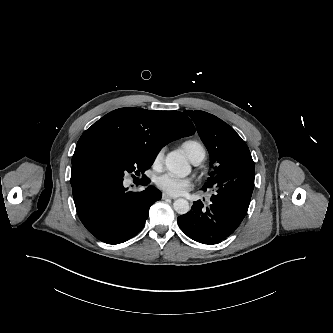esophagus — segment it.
Instances as JSON below:
<instances>
[{"mask_svg":"<svg viewBox=\"0 0 333 333\" xmlns=\"http://www.w3.org/2000/svg\"><path fill=\"white\" fill-rule=\"evenodd\" d=\"M162 199H175L173 196H170V195H168V194H166V193H163L162 194Z\"/></svg>","mask_w":333,"mask_h":333,"instance_id":"34e87169","label":"esophagus"}]
</instances>
